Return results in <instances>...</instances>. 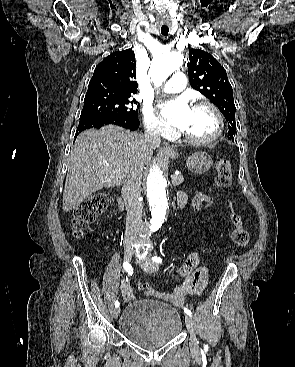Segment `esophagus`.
<instances>
[{"mask_svg":"<svg viewBox=\"0 0 295 367\" xmlns=\"http://www.w3.org/2000/svg\"><path fill=\"white\" fill-rule=\"evenodd\" d=\"M164 149H165V151H172V149L169 146H167V145L165 146Z\"/></svg>","mask_w":295,"mask_h":367,"instance_id":"obj_1","label":"esophagus"}]
</instances>
